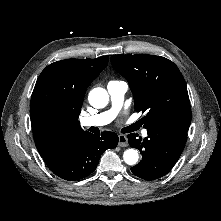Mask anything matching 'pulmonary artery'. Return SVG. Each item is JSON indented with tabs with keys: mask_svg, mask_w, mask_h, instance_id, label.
<instances>
[{
	"mask_svg": "<svg viewBox=\"0 0 221 221\" xmlns=\"http://www.w3.org/2000/svg\"><path fill=\"white\" fill-rule=\"evenodd\" d=\"M128 89V85L124 81H111L107 85L112 106L109 110L94 116L85 117L81 120V124L86 127H101L109 124L117 115L124 101V95ZM143 136H147V130L142 131Z\"/></svg>",
	"mask_w": 221,
	"mask_h": 221,
	"instance_id": "1",
	"label": "pulmonary artery"
}]
</instances>
